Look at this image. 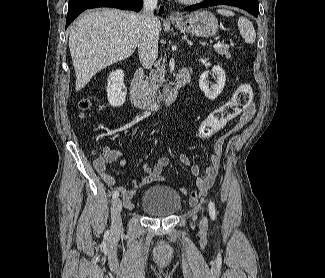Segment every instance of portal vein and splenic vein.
I'll list each match as a JSON object with an SVG mask.
<instances>
[{
	"mask_svg": "<svg viewBox=\"0 0 325 278\" xmlns=\"http://www.w3.org/2000/svg\"><path fill=\"white\" fill-rule=\"evenodd\" d=\"M221 46V42L220 41H217L215 44H214V48H219Z\"/></svg>",
	"mask_w": 325,
	"mask_h": 278,
	"instance_id": "18ae733b",
	"label": "portal vein and splenic vein"
}]
</instances>
